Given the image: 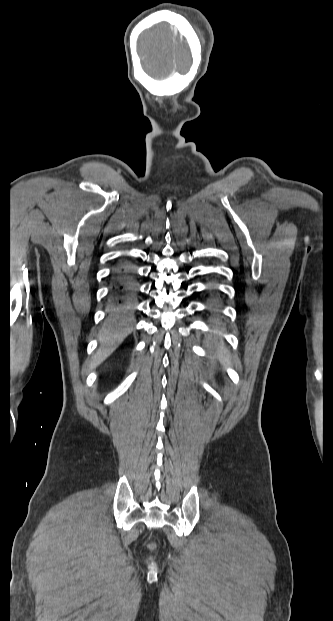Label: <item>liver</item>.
I'll return each mask as SVG.
<instances>
[{"instance_id": "1", "label": "liver", "mask_w": 333, "mask_h": 621, "mask_svg": "<svg viewBox=\"0 0 333 621\" xmlns=\"http://www.w3.org/2000/svg\"><path fill=\"white\" fill-rule=\"evenodd\" d=\"M129 320V318L118 316L104 324L99 335L101 348L93 357L90 363L91 368L98 366L106 360L128 336L131 332V329L127 328Z\"/></svg>"}]
</instances>
